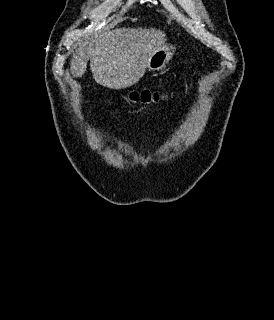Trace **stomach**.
<instances>
[{
  "mask_svg": "<svg viewBox=\"0 0 274 320\" xmlns=\"http://www.w3.org/2000/svg\"><path fill=\"white\" fill-rule=\"evenodd\" d=\"M175 48L173 46H162L157 48L152 58H149L147 68L149 72H156V70H162L168 64L173 56Z\"/></svg>",
  "mask_w": 274,
  "mask_h": 320,
  "instance_id": "1",
  "label": "stomach"
}]
</instances>
